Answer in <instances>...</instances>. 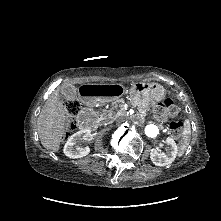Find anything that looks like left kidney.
Segmentation results:
<instances>
[{
	"label": "left kidney",
	"mask_w": 221,
	"mask_h": 221,
	"mask_svg": "<svg viewBox=\"0 0 221 221\" xmlns=\"http://www.w3.org/2000/svg\"><path fill=\"white\" fill-rule=\"evenodd\" d=\"M165 142L168 145L167 153H159L156 149H152L150 152L151 161L156 166L163 167L170 165L178 154L177 145L173 138L168 137Z\"/></svg>",
	"instance_id": "1"
}]
</instances>
